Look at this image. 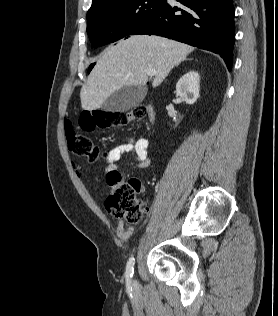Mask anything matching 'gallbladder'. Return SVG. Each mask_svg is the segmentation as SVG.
I'll return each mask as SVG.
<instances>
[{
  "instance_id": "gallbladder-1",
  "label": "gallbladder",
  "mask_w": 278,
  "mask_h": 316,
  "mask_svg": "<svg viewBox=\"0 0 278 316\" xmlns=\"http://www.w3.org/2000/svg\"><path fill=\"white\" fill-rule=\"evenodd\" d=\"M147 90L142 85H129L115 91L102 105L106 112H126L138 106Z\"/></svg>"
}]
</instances>
